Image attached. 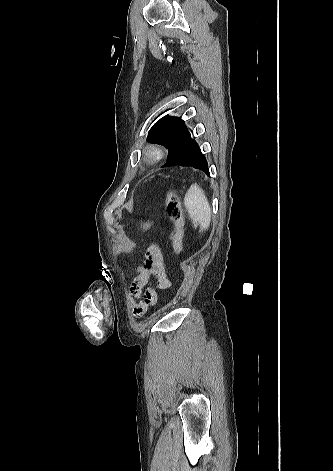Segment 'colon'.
<instances>
[{
  "label": "colon",
  "mask_w": 333,
  "mask_h": 471,
  "mask_svg": "<svg viewBox=\"0 0 333 471\" xmlns=\"http://www.w3.org/2000/svg\"><path fill=\"white\" fill-rule=\"evenodd\" d=\"M167 215L174 225L172 233V245L174 254L179 257L183 249L184 214L180 199L175 191L169 190L165 197Z\"/></svg>",
  "instance_id": "5ec220e1"
}]
</instances>
